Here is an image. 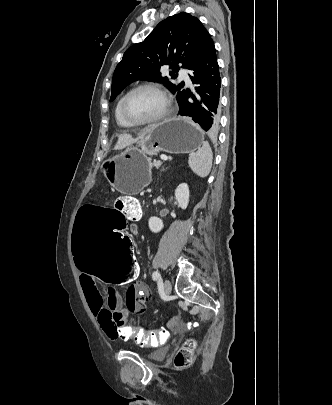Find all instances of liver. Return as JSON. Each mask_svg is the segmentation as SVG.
I'll return each mask as SVG.
<instances>
[{
    "label": "liver",
    "mask_w": 332,
    "mask_h": 405,
    "mask_svg": "<svg viewBox=\"0 0 332 405\" xmlns=\"http://www.w3.org/2000/svg\"><path fill=\"white\" fill-rule=\"evenodd\" d=\"M155 126L156 125H151V126H148V127L144 128L141 132H139L137 134L136 137H133L131 134H120L118 136V140H117V143L114 146V149L115 150H121V149H124L127 146H130V145L134 144L138 140H141L146 135L151 133L154 130Z\"/></svg>",
    "instance_id": "obj_1"
}]
</instances>
